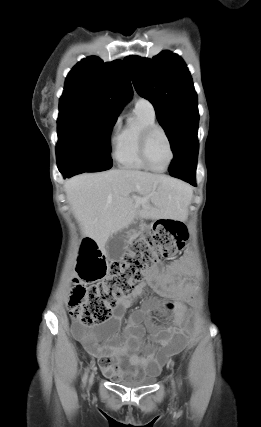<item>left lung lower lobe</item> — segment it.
<instances>
[{
  "instance_id": "left-lung-lower-lobe-1",
  "label": "left lung lower lobe",
  "mask_w": 261,
  "mask_h": 427,
  "mask_svg": "<svg viewBox=\"0 0 261 427\" xmlns=\"http://www.w3.org/2000/svg\"><path fill=\"white\" fill-rule=\"evenodd\" d=\"M198 156L197 131L187 135L174 154L169 173L195 186V172Z\"/></svg>"
}]
</instances>
